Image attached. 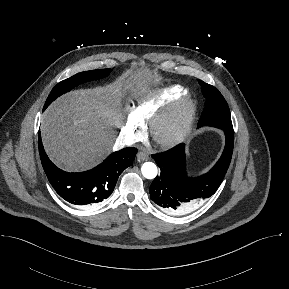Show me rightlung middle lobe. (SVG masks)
I'll list each match as a JSON object with an SVG mask.
<instances>
[{
    "mask_svg": "<svg viewBox=\"0 0 289 289\" xmlns=\"http://www.w3.org/2000/svg\"><path fill=\"white\" fill-rule=\"evenodd\" d=\"M111 72V69H100V70H93V71H86L78 73L66 80L61 81L58 83L49 94L43 110H45L50 103H52L57 97L60 95L70 91L74 87L82 84L84 82L97 80L108 76Z\"/></svg>",
    "mask_w": 289,
    "mask_h": 289,
    "instance_id": "right-lung-middle-lobe-1",
    "label": "right lung middle lobe"
}]
</instances>
